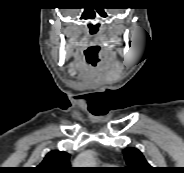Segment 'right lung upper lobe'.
Listing matches in <instances>:
<instances>
[{"label": "right lung upper lobe", "mask_w": 184, "mask_h": 173, "mask_svg": "<svg viewBox=\"0 0 184 173\" xmlns=\"http://www.w3.org/2000/svg\"><path fill=\"white\" fill-rule=\"evenodd\" d=\"M70 154L54 150L49 152L44 160L34 169V173H71Z\"/></svg>", "instance_id": "obj_1"}]
</instances>
